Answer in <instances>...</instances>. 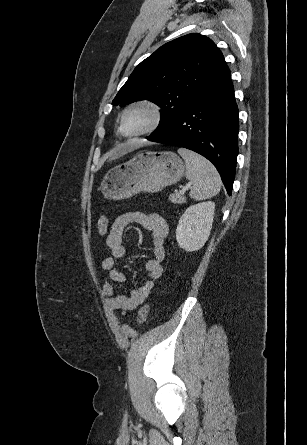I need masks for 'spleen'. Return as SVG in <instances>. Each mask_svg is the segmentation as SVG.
<instances>
[{
	"mask_svg": "<svg viewBox=\"0 0 307 445\" xmlns=\"http://www.w3.org/2000/svg\"><path fill=\"white\" fill-rule=\"evenodd\" d=\"M178 152L186 162V178L193 184L190 188L191 198L205 200L218 194L222 180L215 166L188 148H178Z\"/></svg>",
	"mask_w": 307,
	"mask_h": 445,
	"instance_id": "3e777b00",
	"label": "spleen"
}]
</instances>
